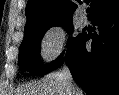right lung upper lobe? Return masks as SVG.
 I'll return each instance as SVG.
<instances>
[{
    "mask_svg": "<svg viewBox=\"0 0 119 95\" xmlns=\"http://www.w3.org/2000/svg\"><path fill=\"white\" fill-rule=\"evenodd\" d=\"M81 3L80 0H29L25 10L27 22L24 33L48 23L72 21L73 13ZM90 7L88 17L93 21L118 9L119 0H90Z\"/></svg>",
    "mask_w": 119,
    "mask_h": 95,
    "instance_id": "cb5924a9",
    "label": "right lung upper lobe"
}]
</instances>
